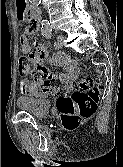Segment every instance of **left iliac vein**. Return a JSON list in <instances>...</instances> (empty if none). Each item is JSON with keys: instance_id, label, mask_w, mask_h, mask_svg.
I'll list each match as a JSON object with an SVG mask.
<instances>
[{"instance_id": "4c4485c4", "label": "left iliac vein", "mask_w": 123, "mask_h": 167, "mask_svg": "<svg viewBox=\"0 0 123 167\" xmlns=\"http://www.w3.org/2000/svg\"><path fill=\"white\" fill-rule=\"evenodd\" d=\"M64 46V37L62 35H59L57 37V48H61Z\"/></svg>"}]
</instances>
